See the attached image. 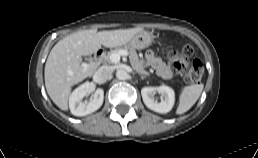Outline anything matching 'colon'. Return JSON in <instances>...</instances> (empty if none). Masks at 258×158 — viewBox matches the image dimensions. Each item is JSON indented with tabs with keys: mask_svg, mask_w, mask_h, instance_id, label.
<instances>
[{
	"mask_svg": "<svg viewBox=\"0 0 258 158\" xmlns=\"http://www.w3.org/2000/svg\"><path fill=\"white\" fill-rule=\"evenodd\" d=\"M193 48L190 45H183L181 48L169 53V63L171 69L176 73H184L183 79L187 84L198 83L203 75V64L200 60L191 57Z\"/></svg>",
	"mask_w": 258,
	"mask_h": 158,
	"instance_id": "1",
	"label": "colon"
}]
</instances>
